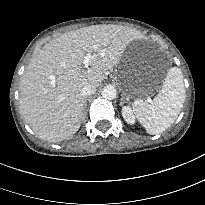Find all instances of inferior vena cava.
<instances>
[{
	"label": "inferior vena cava",
	"instance_id": "602c4592",
	"mask_svg": "<svg viewBox=\"0 0 205 205\" xmlns=\"http://www.w3.org/2000/svg\"><path fill=\"white\" fill-rule=\"evenodd\" d=\"M95 91H96V87L92 84H89V85H85L82 88L81 93L83 96H89V95L94 94Z\"/></svg>",
	"mask_w": 205,
	"mask_h": 205
}]
</instances>
